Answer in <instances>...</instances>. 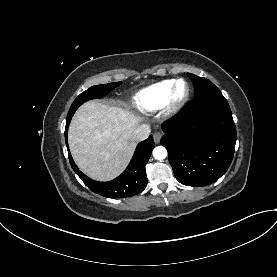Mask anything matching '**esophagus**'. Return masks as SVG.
Segmentation results:
<instances>
[{
  "label": "esophagus",
  "instance_id": "34e87169",
  "mask_svg": "<svg viewBox=\"0 0 277 277\" xmlns=\"http://www.w3.org/2000/svg\"><path fill=\"white\" fill-rule=\"evenodd\" d=\"M161 137H162V134H161L160 132L154 133V135H153L154 142H155L156 144H158V143L160 142Z\"/></svg>",
  "mask_w": 277,
  "mask_h": 277
}]
</instances>
